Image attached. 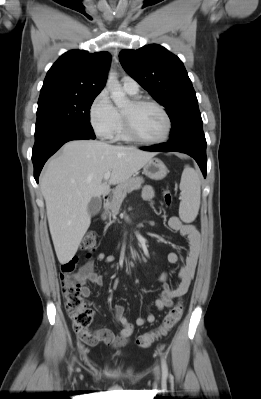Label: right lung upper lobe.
<instances>
[{"instance_id":"1","label":"right lung upper lobe","mask_w":261,"mask_h":399,"mask_svg":"<svg viewBox=\"0 0 261 399\" xmlns=\"http://www.w3.org/2000/svg\"><path fill=\"white\" fill-rule=\"evenodd\" d=\"M111 56L108 52L71 50L49 69L40 96L98 95L106 83Z\"/></svg>"}]
</instances>
